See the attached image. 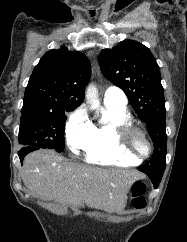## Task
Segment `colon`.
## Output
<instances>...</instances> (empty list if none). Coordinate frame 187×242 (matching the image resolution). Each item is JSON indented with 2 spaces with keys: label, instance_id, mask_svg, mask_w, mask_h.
Segmentation results:
<instances>
[{
  "label": "colon",
  "instance_id": "colon-1",
  "mask_svg": "<svg viewBox=\"0 0 187 242\" xmlns=\"http://www.w3.org/2000/svg\"><path fill=\"white\" fill-rule=\"evenodd\" d=\"M146 185L141 181H137L131 188L130 204L135 209H141L145 206Z\"/></svg>",
  "mask_w": 187,
  "mask_h": 242
}]
</instances>
